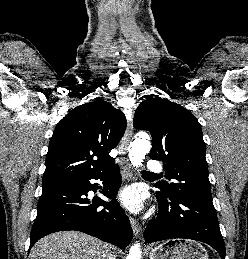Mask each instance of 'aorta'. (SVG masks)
Returning <instances> with one entry per match:
<instances>
[{
	"instance_id": "aorta-1",
	"label": "aorta",
	"mask_w": 248,
	"mask_h": 259,
	"mask_svg": "<svg viewBox=\"0 0 248 259\" xmlns=\"http://www.w3.org/2000/svg\"><path fill=\"white\" fill-rule=\"evenodd\" d=\"M150 148L151 144L146 134H140L134 139L128 150L129 159L133 166H135L136 168L141 166L142 161ZM138 255L139 248L135 246L131 249L128 259H137Z\"/></svg>"
}]
</instances>
